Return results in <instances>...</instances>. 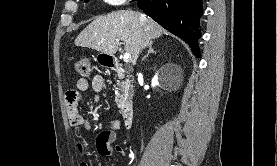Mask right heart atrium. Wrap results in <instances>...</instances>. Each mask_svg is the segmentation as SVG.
Segmentation results:
<instances>
[{
	"label": "right heart atrium",
	"instance_id": "obj_1",
	"mask_svg": "<svg viewBox=\"0 0 277 166\" xmlns=\"http://www.w3.org/2000/svg\"><path fill=\"white\" fill-rule=\"evenodd\" d=\"M129 0H103V2L109 4V5H113V6H119V5H123L126 2H128Z\"/></svg>",
	"mask_w": 277,
	"mask_h": 166
}]
</instances>
